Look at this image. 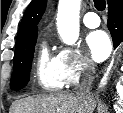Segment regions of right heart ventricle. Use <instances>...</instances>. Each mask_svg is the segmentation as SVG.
Wrapping results in <instances>:
<instances>
[{"label":"right heart ventricle","mask_w":123,"mask_h":113,"mask_svg":"<svg viewBox=\"0 0 123 113\" xmlns=\"http://www.w3.org/2000/svg\"><path fill=\"white\" fill-rule=\"evenodd\" d=\"M37 82L46 90H59L64 86L58 67V58L50 53L48 47L43 45L40 49L37 65Z\"/></svg>","instance_id":"e07e8e85"}]
</instances>
